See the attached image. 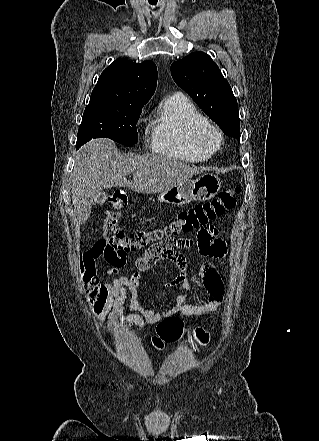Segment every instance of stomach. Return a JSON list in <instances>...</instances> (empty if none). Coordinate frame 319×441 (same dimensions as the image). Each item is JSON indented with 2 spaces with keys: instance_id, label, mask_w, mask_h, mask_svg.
Returning <instances> with one entry per match:
<instances>
[{
  "instance_id": "stomach-1",
  "label": "stomach",
  "mask_w": 319,
  "mask_h": 441,
  "mask_svg": "<svg viewBox=\"0 0 319 441\" xmlns=\"http://www.w3.org/2000/svg\"><path fill=\"white\" fill-rule=\"evenodd\" d=\"M221 180L213 173L201 174L197 179H186L158 194L162 203L183 206L192 201H204L214 197L221 188Z\"/></svg>"
}]
</instances>
